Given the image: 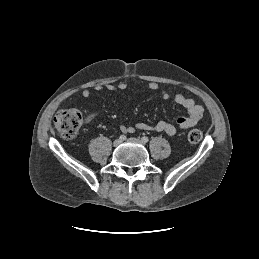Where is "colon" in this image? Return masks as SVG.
Instances as JSON below:
<instances>
[{
  "instance_id": "obj_1",
  "label": "colon",
  "mask_w": 259,
  "mask_h": 259,
  "mask_svg": "<svg viewBox=\"0 0 259 259\" xmlns=\"http://www.w3.org/2000/svg\"><path fill=\"white\" fill-rule=\"evenodd\" d=\"M83 123V115L76 109L59 111L54 118V126L60 135L66 139L76 136ZM187 139L191 143H198L202 139V132L191 129L187 133Z\"/></svg>"
}]
</instances>
